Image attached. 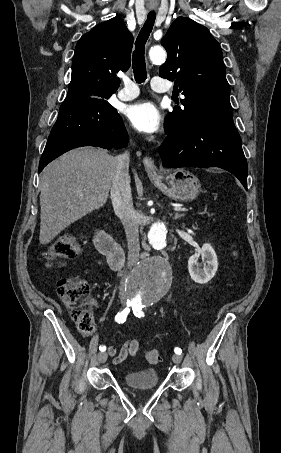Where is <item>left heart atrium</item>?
<instances>
[{"mask_svg": "<svg viewBox=\"0 0 281 453\" xmlns=\"http://www.w3.org/2000/svg\"><path fill=\"white\" fill-rule=\"evenodd\" d=\"M129 123L140 132L155 133L162 124V115L149 101H140L126 111Z\"/></svg>", "mask_w": 281, "mask_h": 453, "instance_id": "left-heart-atrium-1", "label": "left heart atrium"}]
</instances>
